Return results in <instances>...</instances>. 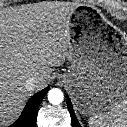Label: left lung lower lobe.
<instances>
[{"mask_svg":"<svg viewBox=\"0 0 127 127\" xmlns=\"http://www.w3.org/2000/svg\"><path fill=\"white\" fill-rule=\"evenodd\" d=\"M67 106H68V110L70 112L72 126L73 127H81L80 124L78 123V120H77L75 114H74L70 99H67Z\"/></svg>","mask_w":127,"mask_h":127,"instance_id":"obj_1","label":"left lung lower lobe"}]
</instances>
